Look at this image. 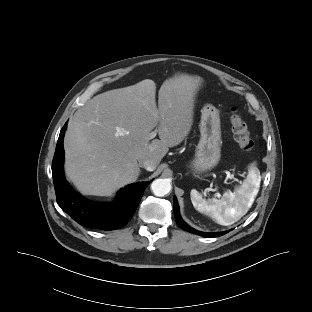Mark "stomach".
<instances>
[{"instance_id":"1","label":"stomach","mask_w":312,"mask_h":312,"mask_svg":"<svg viewBox=\"0 0 312 312\" xmlns=\"http://www.w3.org/2000/svg\"><path fill=\"white\" fill-rule=\"evenodd\" d=\"M200 140L189 167L194 173H203L214 168L221 157V125L219 111L211 104L201 110Z\"/></svg>"}]
</instances>
